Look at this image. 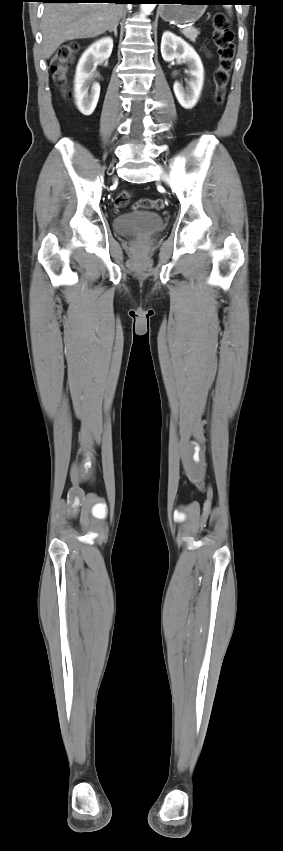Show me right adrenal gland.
Instances as JSON below:
<instances>
[{"mask_svg": "<svg viewBox=\"0 0 283 851\" xmlns=\"http://www.w3.org/2000/svg\"><path fill=\"white\" fill-rule=\"evenodd\" d=\"M118 24H119V23H117V24H116V25H115L112 29H110V30H109V33H111V32L113 31V32H114V35H115L116 37H117V27H118Z\"/></svg>", "mask_w": 283, "mask_h": 851, "instance_id": "2a0ac1e0", "label": "right adrenal gland"}]
</instances>
